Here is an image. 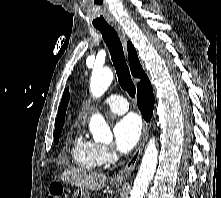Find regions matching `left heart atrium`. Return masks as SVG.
<instances>
[{
    "label": "left heart atrium",
    "instance_id": "left-heart-atrium-1",
    "mask_svg": "<svg viewBox=\"0 0 221 198\" xmlns=\"http://www.w3.org/2000/svg\"><path fill=\"white\" fill-rule=\"evenodd\" d=\"M117 149L123 153L131 151L141 135V122L135 115H127L117 121L113 128Z\"/></svg>",
    "mask_w": 221,
    "mask_h": 198
}]
</instances>
